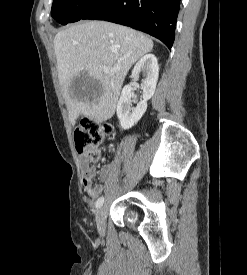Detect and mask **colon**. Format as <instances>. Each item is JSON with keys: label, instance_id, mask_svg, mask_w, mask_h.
Wrapping results in <instances>:
<instances>
[{"label": "colon", "instance_id": "1", "mask_svg": "<svg viewBox=\"0 0 247 275\" xmlns=\"http://www.w3.org/2000/svg\"><path fill=\"white\" fill-rule=\"evenodd\" d=\"M112 134V126L84 119L74 131L76 149L79 152H85L91 161H97L101 156L98 150L99 145L104 138Z\"/></svg>", "mask_w": 247, "mask_h": 275}]
</instances>
